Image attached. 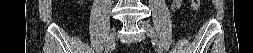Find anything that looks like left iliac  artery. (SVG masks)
I'll return each mask as SVG.
<instances>
[{
    "label": "left iliac artery",
    "mask_w": 253,
    "mask_h": 53,
    "mask_svg": "<svg viewBox=\"0 0 253 53\" xmlns=\"http://www.w3.org/2000/svg\"><path fill=\"white\" fill-rule=\"evenodd\" d=\"M154 45L157 46L156 51H157L158 53H163V48H162V45H161V42H160V41H155V42H154Z\"/></svg>",
    "instance_id": "left-iliac-artery-1"
}]
</instances>
